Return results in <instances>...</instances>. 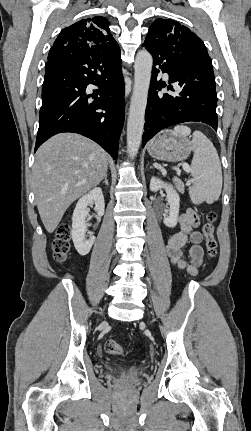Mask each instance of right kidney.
Instances as JSON below:
<instances>
[{
    "instance_id": "ca27d5eb",
    "label": "right kidney",
    "mask_w": 251,
    "mask_h": 431,
    "mask_svg": "<svg viewBox=\"0 0 251 431\" xmlns=\"http://www.w3.org/2000/svg\"><path fill=\"white\" fill-rule=\"evenodd\" d=\"M89 204H95V211L99 217L104 215L105 203L101 188H94L82 196L78 200L73 212L71 231L72 240L77 252L82 256L87 255L90 252L95 242L94 236H90L89 239L85 238L86 217L89 214L87 206Z\"/></svg>"
}]
</instances>
